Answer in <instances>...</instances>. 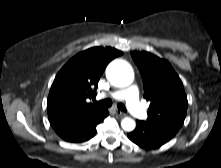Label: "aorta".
<instances>
[{
  "mask_svg": "<svg viewBox=\"0 0 221 168\" xmlns=\"http://www.w3.org/2000/svg\"><path fill=\"white\" fill-rule=\"evenodd\" d=\"M107 79L117 87H127L134 79V72L131 65L122 59L113 60L106 69ZM123 130L130 132L136 127L135 121L130 117H125L121 121Z\"/></svg>",
  "mask_w": 221,
  "mask_h": 168,
  "instance_id": "obj_1",
  "label": "aorta"
}]
</instances>
